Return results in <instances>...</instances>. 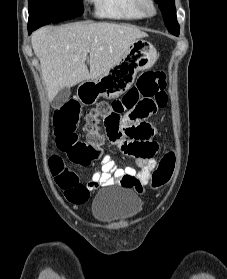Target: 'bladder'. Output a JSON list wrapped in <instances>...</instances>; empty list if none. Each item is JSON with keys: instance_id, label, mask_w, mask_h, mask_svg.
<instances>
[{"instance_id": "bladder-1", "label": "bladder", "mask_w": 227, "mask_h": 279, "mask_svg": "<svg viewBox=\"0 0 227 279\" xmlns=\"http://www.w3.org/2000/svg\"><path fill=\"white\" fill-rule=\"evenodd\" d=\"M142 208L139 197L126 188L100 191L94 198L92 216L100 223L110 225L135 217Z\"/></svg>"}]
</instances>
